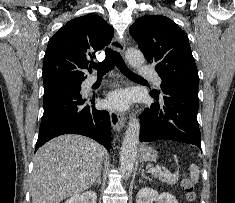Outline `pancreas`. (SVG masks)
Listing matches in <instances>:
<instances>
[{
    "instance_id": "obj_1",
    "label": "pancreas",
    "mask_w": 235,
    "mask_h": 203,
    "mask_svg": "<svg viewBox=\"0 0 235 203\" xmlns=\"http://www.w3.org/2000/svg\"><path fill=\"white\" fill-rule=\"evenodd\" d=\"M155 177H158L162 182H165L169 185H173L178 181L177 175L166 176L163 172L155 171L152 172Z\"/></svg>"
}]
</instances>
